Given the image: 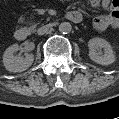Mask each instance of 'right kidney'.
Returning <instances> with one entry per match:
<instances>
[{"label":"right kidney","instance_id":"right-kidney-1","mask_svg":"<svg viewBox=\"0 0 119 119\" xmlns=\"http://www.w3.org/2000/svg\"><path fill=\"white\" fill-rule=\"evenodd\" d=\"M19 49L17 43L9 46L3 54V64L9 72H23L27 70L34 61L32 54H25L24 56L14 55Z\"/></svg>","mask_w":119,"mask_h":119}]
</instances>
